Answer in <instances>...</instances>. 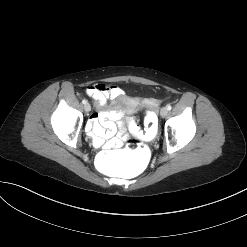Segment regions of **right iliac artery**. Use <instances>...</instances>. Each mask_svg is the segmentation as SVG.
<instances>
[{
    "label": "right iliac artery",
    "instance_id": "obj_1",
    "mask_svg": "<svg viewBox=\"0 0 247 247\" xmlns=\"http://www.w3.org/2000/svg\"><path fill=\"white\" fill-rule=\"evenodd\" d=\"M82 103H83V104H86V103H87V100H86V99H83V100H82Z\"/></svg>",
    "mask_w": 247,
    "mask_h": 247
}]
</instances>
